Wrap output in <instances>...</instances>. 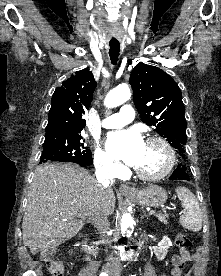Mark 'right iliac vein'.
<instances>
[{
    "mask_svg": "<svg viewBox=\"0 0 221 276\" xmlns=\"http://www.w3.org/2000/svg\"><path fill=\"white\" fill-rule=\"evenodd\" d=\"M106 272H109L110 271V268L109 267H104L103 268Z\"/></svg>",
    "mask_w": 221,
    "mask_h": 276,
    "instance_id": "obj_1",
    "label": "right iliac vein"
}]
</instances>
